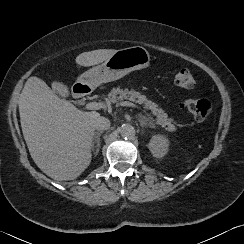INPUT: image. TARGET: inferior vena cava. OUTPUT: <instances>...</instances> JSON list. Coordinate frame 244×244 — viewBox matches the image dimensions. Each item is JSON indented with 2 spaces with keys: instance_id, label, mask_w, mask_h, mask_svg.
I'll use <instances>...</instances> for the list:
<instances>
[{
  "instance_id": "602c4592",
  "label": "inferior vena cava",
  "mask_w": 244,
  "mask_h": 244,
  "mask_svg": "<svg viewBox=\"0 0 244 244\" xmlns=\"http://www.w3.org/2000/svg\"><path fill=\"white\" fill-rule=\"evenodd\" d=\"M93 126L99 131L107 130L110 127V120L103 116H98L94 119Z\"/></svg>"
}]
</instances>
